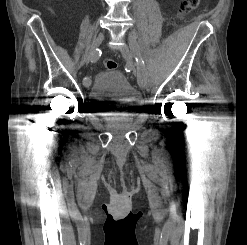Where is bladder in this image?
I'll return each mask as SVG.
<instances>
[{"label":"bladder","instance_id":"1","mask_svg":"<svg viewBox=\"0 0 247 245\" xmlns=\"http://www.w3.org/2000/svg\"><path fill=\"white\" fill-rule=\"evenodd\" d=\"M88 101L101 113H131L140 108V93L118 70L100 72L88 92Z\"/></svg>","mask_w":247,"mask_h":245}]
</instances>
